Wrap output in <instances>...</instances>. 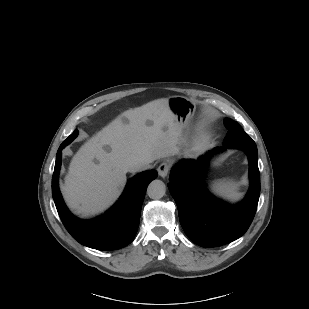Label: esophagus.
Instances as JSON below:
<instances>
[{
	"label": "esophagus",
	"mask_w": 309,
	"mask_h": 309,
	"mask_svg": "<svg viewBox=\"0 0 309 309\" xmlns=\"http://www.w3.org/2000/svg\"><path fill=\"white\" fill-rule=\"evenodd\" d=\"M157 170H158L159 176H161L162 178H165L169 173L170 166L167 162H163L159 165Z\"/></svg>",
	"instance_id": "esophagus-1"
}]
</instances>
